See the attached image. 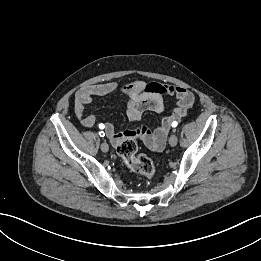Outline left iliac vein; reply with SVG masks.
<instances>
[{"label":"left iliac vein","instance_id":"left-iliac-vein-1","mask_svg":"<svg viewBox=\"0 0 261 261\" xmlns=\"http://www.w3.org/2000/svg\"><path fill=\"white\" fill-rule=\"evenodd\" d=\"M177 142H178L177 136H176L175 134H172V135L170 136V138H169V144H170V146H172V147L176 146Z\"/></svg>","mask_w":261,"mask_h":261}]
</instances>
